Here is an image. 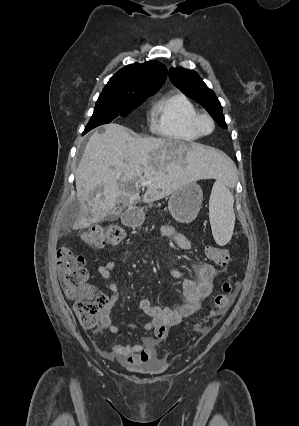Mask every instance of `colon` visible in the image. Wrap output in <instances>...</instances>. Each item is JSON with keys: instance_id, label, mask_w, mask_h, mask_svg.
<instances>
[{"instance_id": "colon-1", "label": "colon", "mask_w": 299, "mask_h": 426, "mask_svg": "<svg viewBox=\"0 0 299 426\" xmlns=\"http://www.w3.org/2000/svg\"><path fill=\"white\" fill-rule=\"evenodd\" d=\"M82 237L89 246L103 247L119 244L124 238V231L117 225L97 226L84 232ZM205 253L209 260L219 266H225L231 260L229 251L220 247L209 245ZM57 264L64 293L69 299L75 301V311L81 325L86 328L94 327L99 312L108 302L107 297L88 283V272L82 256L74 254L68 248H61L57 254ZM233 296V284L224 282L220 292L214 297L210 311L212 321L205 325H198L197 331L208 332L214 321L227 312Z\"/></svg>"}]
</instances>
